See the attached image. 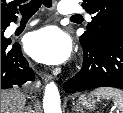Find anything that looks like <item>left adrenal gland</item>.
Returning <instances> with one entry per match:
<instances>
[{
    "label": "left adrenal gland",
    "mask_w": 123,
    "mask_h": 113,
    "mask_svg": "<svg viewBox=\"0 0 123 113\" xmlns=\"http://www.w3.org/2000/svg\"><path fill=\"white\" fill-rule=\"evenodd\" d=\"M79 111H81V112H82V109H76V112H77V113H79Z\"/></svg>",
    "instance_id": "a2214340"
}]
</instances>
